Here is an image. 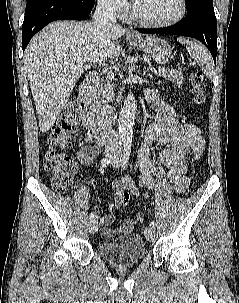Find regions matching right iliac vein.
Listing matches in <instances>:
<instances>
[{
	"mask_svg": "<svg viewBox=\"0 0 239 303\" xmlns=\"http://www.w3.org/2000/svg\"><path fill=\"white\" fill-rule=\"evenodd\" d=\"M99 228L98 219L92 220L89 224V232L90 234H95Z\"/></svg>",
	"mask_w": 239,
	"mask_h": 303,
	"instance_id": "1",
	"label": "right iliac vein"
}]
</instances>
